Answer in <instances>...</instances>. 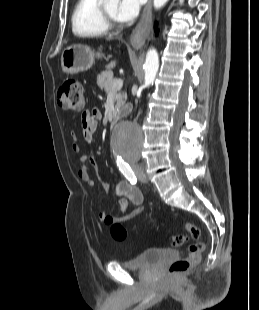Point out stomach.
I'll list each match as a JSON object with an SVG mask.
<instances>
[{"mask_svg": "<svg viewBox=\"0 0 259 310\" xmlns=\"http://www.w3.org/2000/svg\"><path fill=\"white\" fill-rule=\"evenodd\" d=\"M95 57H101V54L94 53L86 45L75 44L68 46L61 55L62 70L67 74L87 71L93 65Z\"/></svg>", "mask_w": 259, "mask_h": 310, "instance_id": "1", "label": "stomach"}]
</instances>
